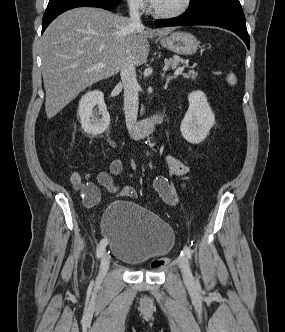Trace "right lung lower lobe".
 <instances>
[{
  "label": "right lung lower lobe",
  "mask_w": 285,
  "mask_h": 332,
  "mask_svg": "<svg viewBox=\"0 0 285 332\" xmlns=\"http://www.w3.org/2000/svg\"><path fill=\"white\" fill-rule=\"evenodd\" d=\"M120 1L108 0H50L42 20V33L61 13L76 7H98L113 10Z\"/></svg>",
  "instance_id": "obj_1"
}]
</instances>
